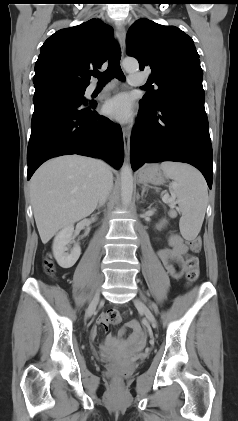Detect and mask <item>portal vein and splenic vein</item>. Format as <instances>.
<instances>
[{
	"mask_svg": "<svg viewBox=\"0 0 238 421\" xmlns=\"http://www.w3.org/2000/svg\"><path fill=\"white\" fill-rule=\"evenodd\" d=\"M164 197L165 198H169V194H165ZM170 199L174 200L175 199V196H172V198H170Z\"/></svg>",
	"mask_w": 238,
	"mask_h": 421,
	"instance_id": "1",
	"label": "portal vein and splenic vein"
}]
</instances>
